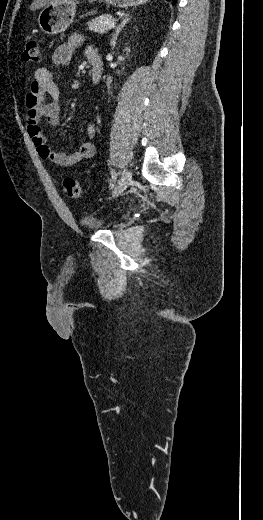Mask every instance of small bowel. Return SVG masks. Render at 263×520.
<instances>
[{
	"label": "small bowel",
	"instance_id": "1",
	"mask_svg": "<svg viewBox=\"0 0 263 520\" xmlns=\"http://www.w3.org/2000/svg\"><path fill=\"white\" fill-rule=\"evenodd\" d=\"M78 43L79 38L73 37L69 42L58 46L52 56L53 63L57 66L69 64ZM91 51H94L91 47L86 50L87 56ZM59 95L60 90L51 71L44 67L36 69L34 80L25 97L26 128L40 158L64 168H71L92 158L95 154V146L93 143L86 141L80 146L79 150L71 153L55 152L49 147L47 138L42 133V128L55 127L59 124ZM47 97L52 100L48 102ZM96 130L95 124H88L86 128L87 136L93 138Z\"/></svg>",
	"mask_w": 263,
	"mask_h": 520
}]
</instances>
